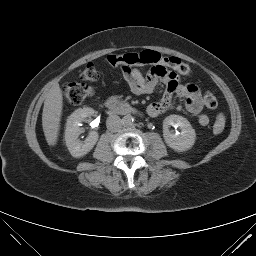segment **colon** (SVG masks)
Instances as JSON below:
<instances>
[{
    "instance_id": "colon-1",
    "label": "colon",
    "mask_w": 256,
    "mask_h": 256,
    "mask_svg": "<svg viewBox=\"0 0 256 256\" xmlns=\"http://www.w3.org/2000/svg\"><path fill=\"white\" fill-rule=\"evenodd\" d=\"M166 62L173 70L182 75H188L191 72L190 67L176 57H169L167 59L152 50L142 51L140 53H125L119 55L107 56V63L112 67H132L143 64H158ZM99 77V72L93 63H88L81 73V78L86 81H95ZM63 93L69 103L79 105L87 101L93 95V88L85 83L68 82L63 86ZM203 104L205 107L213 109L217 107L218 101L215 95L211 92H206L203 96ZM225 128V116L219 114L216 117L213 125L215 133L223 132Z\"/></svg>"
}]
</instances>
